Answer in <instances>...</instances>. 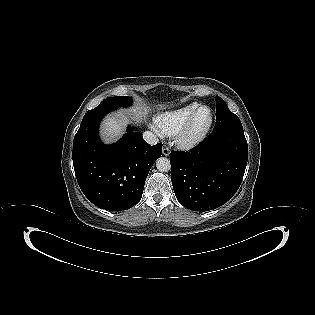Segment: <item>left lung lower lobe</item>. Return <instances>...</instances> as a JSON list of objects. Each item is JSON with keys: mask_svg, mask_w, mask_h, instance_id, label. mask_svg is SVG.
Listing matches in <instances>:
<instances>
[{"mask_svg": "<svg viewBox=\"0 0 315 315\" xmlns=\"http://www.w3.org/2000/svg\"><path fill=\"white\" fill-rule=\"evenodd\" d=\"M248 159L243 130L210 134L189 152L171 151V181L177 200L206 211L226 203L238 190Z\"/></svg>", "mask_w": 315, "mask_h": 315, "instance_id": "obj_1", "label": "left lung lower lobe"}]
</instances>
